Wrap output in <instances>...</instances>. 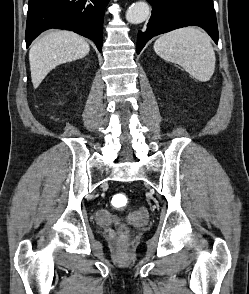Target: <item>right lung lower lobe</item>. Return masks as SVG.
<instances>
[{"label":"right lung lower lobe","instance_id":"obj_1","mask_svg":"<svg viewBox=\"0 0 249 294\" xmlns=\"http://www.w3.org/2000/svg\"><path fill=\"white\" fill-rule=\"evenodd\" d=\"M109 0H29L26 45L50 28L74 31L102 50L104 9Z\"/></svg>","mask_w":249,"mask_h":294}]
</instances>
